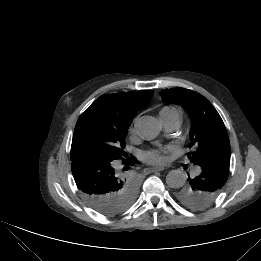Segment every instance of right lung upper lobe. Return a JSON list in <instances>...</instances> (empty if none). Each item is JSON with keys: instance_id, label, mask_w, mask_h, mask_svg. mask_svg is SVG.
Here are the masks:
<instances>
[{"instance_id": "1", "label": "right lung upper lobe", "mask_w": 261, "mask_h": 261, "mask_svg": "<svg viewBox=\"0 0 261 261\" xmlns=\"http://www.w3.org/2000/svg\"><path fill=\"white\" fill-rule=\"evenodd\" d=\"M153 93L149 90L102 95L89 109L130 126L136 112L150 101Z\"/></svg>"}]
</instances>
